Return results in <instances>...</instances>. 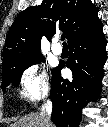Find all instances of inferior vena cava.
Returning a JSON list of instances; mask_svg holds the SVG:
<instances>
[{"instance_id": "inferior-vena-cava-1", "label": "inferior vena cava", "mask_w": 108, "mask_h": 127, "mask_svg": "<svg viewBox=\"0 0 108 127\" xmlns=\"http://www.w3.org/2000/svg\"><path fill=\"white\" fill-rule=\"evenodd\" d=\"M51 113H52V102L51 100L48 99L41 109V115L45 118V122L47 126L51 124V121H50Z\"/></svg>"}]
</instances>
